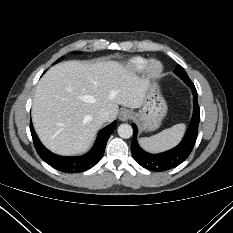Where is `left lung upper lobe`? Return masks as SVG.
I'll use <instances>...</instances> for the list:
<instances>
[{"label": "left lung upper lobe", "instance_id": "obj_1", "mask_svg": "<svg viewBox=\"0 0 233 233\" xmlns=\"http://www.w3.org/2000/svg\"><path fill=\"white\" fill-rule=\"evenodd\" d=\"M174 73L178 75L185 83L191 82L187 73L180 65L176 67V69L174 70Z\"/></svg>", "mask_w": 233, "mask_h": 233}]
</instances>
